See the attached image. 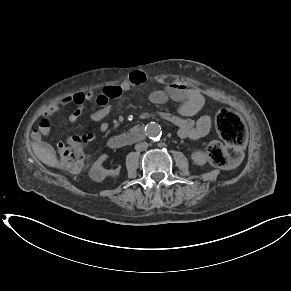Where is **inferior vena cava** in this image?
<instances>
[{
    "label": "inferior vena cava",
    "mask_w": 291,
    "mask_h": 291,
    "mask_svg": "<svg viewBox=\"0 0 291 291\" xmlns=\"http://www.w3.org/2000/svg\"><path fill=\"white\" fill-rule=\"evenodd\" d=\"M147 148H148V143L146 142L138 143L135 145V149L137 151H143V150H146Z\"/></svg>",
    "instance_id": "602c4592"
}]
</instances>
